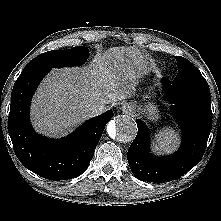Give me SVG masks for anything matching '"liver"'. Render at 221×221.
I'll return each mask as SVG.
<instances>
[{
	"label": "liver",
	"mask_w": 221,
	"mask_h": 221,
	"mask_svg": "<svg viewBox=\"0 0 221 221\" xmlns=\"http://www.w3.org/2000/svg\"><path fill=\"white\" fill-rule=\"evenodd\" d=\"M148 69L147 56L131 46L109 48L82 68L54 69L33 98L34 128L52 137L66 135L92 117L91 105L130 98Z\"/></svg>",
	"instance_id": "obj_1"
}]
</instances>
